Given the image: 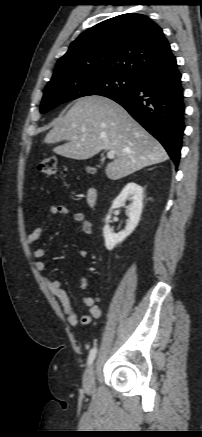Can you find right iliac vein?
I'll use <instances>...</instances> for the list:
<instances>
[{"mask_svg":"<svg viewBox=\"0 0 202 437\" xmlns=\"http://www.w3.org/2000/svg\"><path fill=\"white\" fill-rule=\"evenodd\" d=\"M83 386L84 389L86 390V392L91 393L94 391L95 389V380H94V367L90 366L85 374H84V378H83Z\"/></svg>","mask_w":202,"mask_h":437,"instance_id":"right-iliac-vein-1","label":"right iliac vein"}]
</instances>
